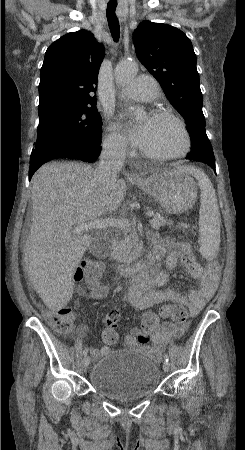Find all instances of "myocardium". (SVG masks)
Returning a JSON list of instances; mask_svg holds the SVG:
<instances>
[{
  "label": "myocardium",
  "mask_w": 245,
  "mask_h": 450,
  "mask_svg": "<svg viewBox=\"0 0 245 450\" xmlns=\"http://www.w3.org/2000/svg\"><path fill=\"white\" fill-rule=\"evenodd\" d=\"M149 117L154 120L168 119V120L174 122L181 130V132L184 136L185 144H184V148L180 152H178L176 154H167V155L149 153L141 148L140 152L143 156L151 158L155 161L167 162V161L180 159V158H183L186 155H188V153L191 151V148H192L191 136H190V133H189L186 125L184 124V122L175 113H173L172 111H170L168 109H162V110L152 111L150 113Z\"/></svg>",
  "instance_id": "f54148a6"
}]
</instances>
